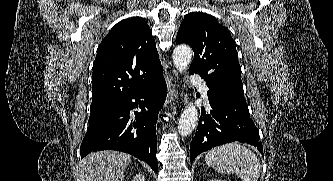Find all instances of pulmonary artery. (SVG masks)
Instances as JSON below:
<instances>
[{
  "label": "pulmonary artery",
  "instance_id": "obj_1",
  "mask_svg": "<svg viewBox=\"0 0 333 181\" xmlns=\"http://www.w3.org/2000/svg\"><path fill=\"white\" fill-rule=\"evenodd\" d=\"M190 81L193 85H196L200 88L204 99H207L208 88H207L205 82L200 77H198L196 75L191 76Z\"/></svg>",
  "mask_w": 333,
  "mask_h": 181
}]
</instances>
